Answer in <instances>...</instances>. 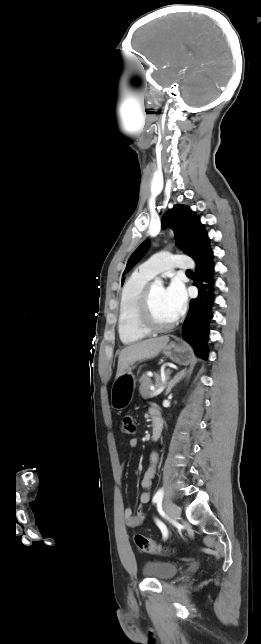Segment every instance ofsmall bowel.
<instances>
[{"instance_id": "obj_1", "label": "small bowel", "mask_w": 261, "mask_h": 644, "mask_svg": "<svg viewBox=\"0 0 261 644\" xmlns=\"http://www.w3.org/2000/svg\"><path fill=\"white\" fill-rule=\"evenodd\" d=\"M155 413L160 414L157 408L152 407L150 409V415L153 416V414ZM137 445H138L137 439L130 440V446L132 448L137 447ZM157 462H158V453L152 452L150 455V465L145 471L141 480V487L144 489V491L141 493L139 497L138 511L135 513L133 509L130 507L124 510V517L126 520V524L131 528H138L144 524L145 514L143 513L142 508L150 502V494L148 493L147 490L151 485L152 479L154 478ZM121 469L123 470V465Z\"/></svg>"}]
</instances>
